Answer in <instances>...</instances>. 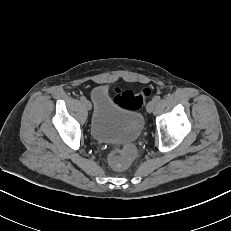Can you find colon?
<instances>
[{"mask_svg": "<svg viewBox=\"0 0 231 231\" xmlns=\"http://www.w3.org/2000/svg\"><path fill=\"white\" fill-rule=\"evenodd\" d=\"M114 100L121 106L128 109H139L143 102L150 97L152 91L150 88H144L139 92L132 90H122L114 88L112 90ZM134 157V148L126 146L122 149H116L109 154V164L117 170H123L128 167Z\"/></svg>", "mask_w": 231, "mask_h": 231, "instance_id": "5ec220e1", "label": "colon"}]
</instances>
